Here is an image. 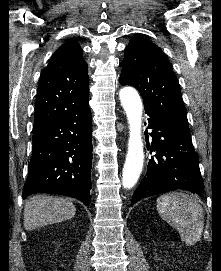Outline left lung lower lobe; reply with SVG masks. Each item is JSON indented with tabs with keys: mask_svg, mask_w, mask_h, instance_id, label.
<instances>
[{
	"mask_svg": "<svg viewBox=\"0 0 221 271\" xmlns=\"http://www.w3.org/2000/svg\"><path fill=\"white\" fill-rule=\"evenodd\" d=\"M148 129L152 137L151 156L147 173L135 190L131 205L141 198L166 193L179 188L201 194L203 179L198 165V156L186 131L160 115L145 109ZM146 124V122H145ZM147 131V130H146ZM147 148L149 135L146 134Z\"/></svg>",
	"mask_w": 221,
	"mask_h": 271,
	"instance_id": "0a47b994",
	"label": "left lung lower lobe"
}]
</instances>
